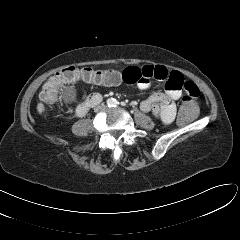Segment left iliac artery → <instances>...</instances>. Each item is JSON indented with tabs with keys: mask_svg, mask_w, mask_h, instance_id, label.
<instances>
[{
	"mask_svg": "<svg viewBox=\"0 0 240 240\" xmlns=\"http://www.w3.org/2000/svg\"><path fill=\"white\" fill-rule=\"evenodd\" d=\"M118 105H120V103L117 101V100H114V104H113V106H118ZM121 105H124L123 103H121Z\"/></svg>",
	"mask_w": 240,
	"mask_h": 240,
	"instance_id": "obj_1",
	"label": "left iliac artery"
}]
</instances>
